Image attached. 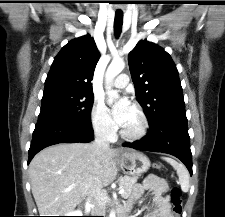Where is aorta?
I'll return each mask as SVG.
<instances>
[{"label": "aorta", "mask_w": 225, "mask_h": 217, "mask_svg": "<svg viewBox=\"0 0 225 217\" xmlns=\"http://www.w3.org/2000/svg\"><path fill=\"white\" fill-rule=\"evenodd\" d=\"M125 68V63L123 60H112L110 65L107 68V71L105 73V89L106 93L108 95V102L112 103L113 100L118 98V92L116 90H113L111 83L114 80V78L122 72V70ZM110 217H115L114 212L110 214Z\"/></svg>", "instance_id": "1"}]
</instances>
